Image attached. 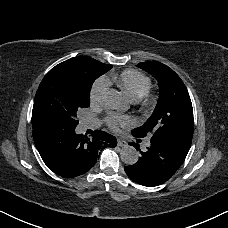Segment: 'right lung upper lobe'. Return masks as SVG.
Segmentation results:
<instances>
[{
    "mask_svg": "<svg viewBox=\"0 0 228 228\" xmlns=\"http://www.w3.org/2000/svg\"><path fill=\"white\" fill-rule=\"evenodd\" d=\"M96 61L97 60L90 57L77 56L58 64L55 66V68L62 69L70 73H78L86 70L91 64Z\"/></svg>",
    "mask_w": 228,
    "mask_h": 228,
    "instance_id": "right-lung-upper-lobe-1",
    "label": "right lung upper lobe"
}]
</instances>
